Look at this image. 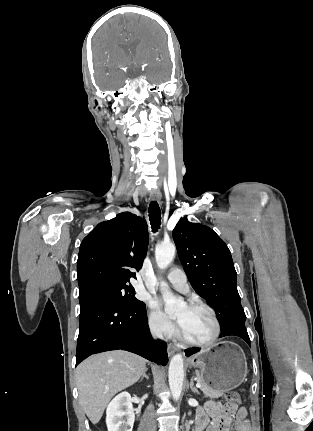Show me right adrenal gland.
I'll return each instance as SVG.
<instances>
[{"label": "right adrenal gland", "mask_w": 313, "mask_h": 431, "mask_svg": "<svg viewBox=\"0 0 313 431\" xmlns=\"http://www.w3.org/2000/svg\"><path fill=\"white\" fill-rule=\"evenodd\" d=\"M148 371V368H145L143 375L141 376L140 380L142 381L144 378H146L147 380H149V377L147 376L146 372Z\"/></svg>", "instance_id": "right-adrenal-gland-1"}]
</instances>
